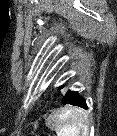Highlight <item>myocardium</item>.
Listing matches in <instances>:
<instances>
[{
	"instance_id": "obj_1",
	"label": "myocardium",
	"mask_w": 117,
	"mask_h": 136,
	"mask_svg": "<svg viewBox=\"0 0 117 136\" xmlns=\"http://www.w3.org/2000/svg\"><path fill=\"white\" fill-rule=\"evenodd\" d=\"M45 100V94L41 89H35L27 95V101L32 106H40Z\"/></svg>"
}]
</instances>
